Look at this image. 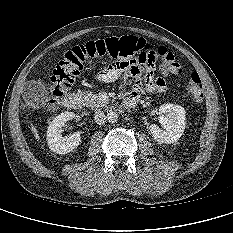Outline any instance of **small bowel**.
<instances>
[{"mask_svg": "<svg viewBox=\"0 0 233 233\" xmlns=\"http://www.w3.org/2000/svg\"><path fill=\"white\" fill-rule=\"evenodd\" d=\"M161 63V56L156 51H149L145 56L126 58L117 61L97 75L99 82L107 83L118 78L124 80L135 79L132 90L129 94L139 97L146 90L149 93L157 94L166 89V82L163 78H155L157 67ZM144 80L145 85H143ZM128 94V95H129Z\"/></svg>", "mask_w": 233, "mask_h": 233, "instance_id": "1", "label": "small bowel"}]
</instances>
